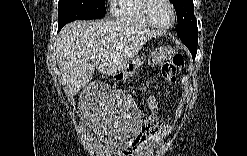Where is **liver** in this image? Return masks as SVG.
I'll list each match as a JSON object with an SVG mask.
<instances>
[{"mask_svg": "<svg viewBox=\"0 0 247 156\" xmlns=\"http://www.w3.org/2000/svg\"><path fill=\"white\" fill-rule=\"evenodd\" d=\"M159 35V31L111 20L67 24L55 44L63 85L74 94L92 80L95 69L117 75L146 42Z\"/></svg>", "mask_w": 247, "mask_h": 156, "instance_id": "liver-1", "label": "liver"}]
</instances>
